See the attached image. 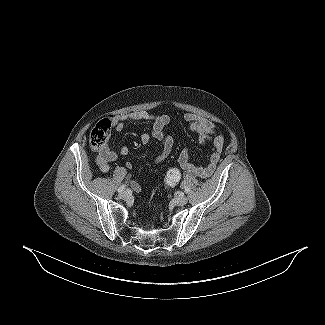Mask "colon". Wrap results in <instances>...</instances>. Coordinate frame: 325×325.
<instances>
[{
  "label": "colon",
  "instance_id": "1",
  "mask_svg": "<svg viewBox=\"0 0 325 325\" xmlns=\"http://www.w3.org/2000/svg\"><path fill=\"white\" fill-rule=\"evenodd\" d=\"M112 123L109 119H103L96 124L89 136V144L94 150H101L108 142L111 135ZM181 179V173L178 168H169L164 177L167 186L177 184Z\"/></svg>",
  "mask_w": 325,
  "mask_h": 325
}]
</instances>
